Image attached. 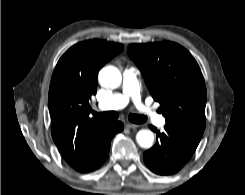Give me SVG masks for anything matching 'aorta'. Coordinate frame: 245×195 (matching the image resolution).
Returning a JSON list of instances; mask_svg holds the SVG:
<instances>
[{"mask_svg": "<svg viewBox=\"0 0 245 195\" xmlns=\"http://www.w3.org/2000/svg\"><path fill=\"white\" fill-rule=\"evenodd\" d=\"M98 79L101 86L115 89L120 86L122 76L116 67L107 66L100 70ZM136 140L142 148H150L154 142V134L150 130L143 129L137 133Z\"/></svg>", "mask_w": 245, "mask_h": 195, "instance_id": "aorta-1", "label": "aorta"}]
</instances>
